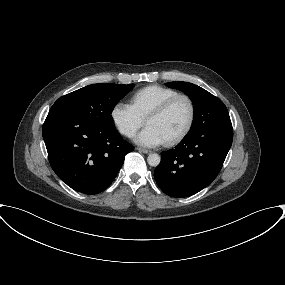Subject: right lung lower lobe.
<instances>
[{"mask_svg":"<svg viewBox=\"0 0 285 285\" xmlns=\"http://www.w3.org/2000/svg\"><path fill=\"white\" fill-rule=\"evenodd\" d=\"M42 134L57 176L75 191L90 195L112 183L125 155L134 149L115 127H99L61 108L50 109Z\"/></svg>","mask_w":285,"mask_h":285,"instance_id":"98d812e1","label":"right lung lower lobe"}]
</instances>
